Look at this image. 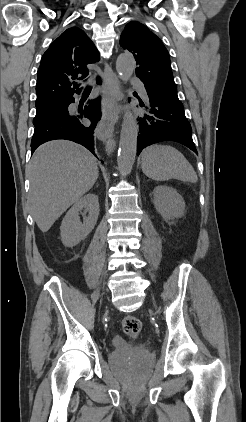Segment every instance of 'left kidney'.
<instances>
[{"mask_svg":"<svg viewBox=\"0 0 246 422\" xmlns=\"http://www.w3.org/2000/svg\"><path fill=\"white\" fill-rule=\"evenodd\" d=\"M153 204L165 221L181 218L185 212V201L176 189L159 185L153 190Z\"/></svg>","mask_w":246,"mask_h":422,"instance_id":"left-kidney-1","label":"left kidney"}]
</instances>
